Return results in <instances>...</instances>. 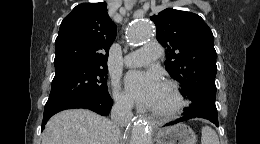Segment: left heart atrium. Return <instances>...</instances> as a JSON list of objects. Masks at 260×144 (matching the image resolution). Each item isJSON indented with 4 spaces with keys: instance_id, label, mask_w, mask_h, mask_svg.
<instances>
[{
    "instance_id": "left-heart-atrium-1",
    "label": "left heart atrium",
    "mask_w": 260,
    "mask_h": 144,
    "mask_svg": "<svg viewBox=\"0 0 260 144\" xmlns=\"http://www.w3.org/2000/svg\"><path fill=\"white\" fill-rule=\"evenodd\" d=\"M125 83L130 96L137 103L148 107L154 105L163 85L155 73L140 71L128 73Z\"/></svg>"
}]
</instances>
